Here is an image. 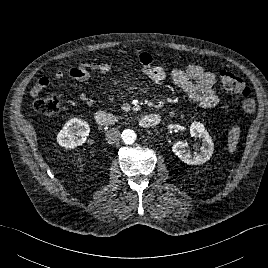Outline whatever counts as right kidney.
Segmentation results:
<instances>
[{"label":"right kidney","mask_w":268,"mask_h":268,"mask_svg":"<svg viewBox=\"0 0 268 268\" xmlns=\"http://www.w3.org/2000/svg\"><path fill=\"white\" fill-rule=\"evenodd\" d=\"M89 133L90 127L87 122L73 118L58 133L57 143L66 149H74L85 143Z\"/></svg>","instance_id":"right-kidney-1"}]
</instances>
